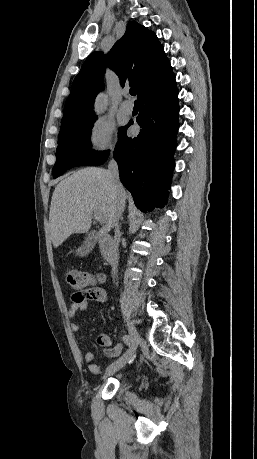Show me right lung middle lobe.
Returning a JSON list of instances; mask_svg holds the SVG:
<instances>
[{"label":"right lung middle lobe","instance_id":"right-lung-middle-lobe-1","mask_svg":"<svg viewBox=\"0 0 257 459\" xmlns=\"http://www.w3.org/2000/svg\"><path fill=\"white\" fill-rule=\"evenodd\" d=\"M96 119V116L87 119L59 134L56 163L53 167L54 179L72 167L92 165L108 155L109 151L97 153L91 149L90 132ZM121 130L122 128L120 132Z\"/></svg>","mask_w":257,"mask_h":459}]
</instances>
